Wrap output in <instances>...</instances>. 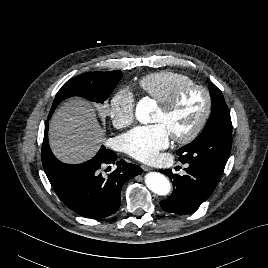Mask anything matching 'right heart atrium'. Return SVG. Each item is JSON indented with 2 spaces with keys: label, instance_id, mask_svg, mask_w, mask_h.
Here are the masks:
<instances>
[{
  "label": "right heart atrium",
  "instance_id": "1",
  "mask_svg": "<svg viewBox=\"0 0 268 268\" xmlns=\"http://www.w3.org/2000/svg\"><path fill=\"white\" fill-rule=\"evenodd\" d=\"M136 100L130 89L117 90L109 102V116L118 127H127L135 120Z\"/></svg>",
  "mask_w": 268,
  "mask_h": 268
}]
</instances>
